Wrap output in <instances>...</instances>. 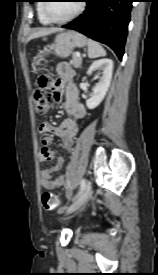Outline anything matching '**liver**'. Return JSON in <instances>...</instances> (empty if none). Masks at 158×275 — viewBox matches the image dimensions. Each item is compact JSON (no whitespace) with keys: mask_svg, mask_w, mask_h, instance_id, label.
Here are the masks:
<instances>
[{"mask_svg":"<svg viewBox=\"0 0 158 275\" xmlns=\"http://www.w3.org/2000/svg\"><path fill=\"white\" fill-rule=\"evenodd\" d=\"M57 31H62V29H60V28L40 29L38 31H35L32 35H30L28 40L38 38V37H42V36H46V35H49L51 33L57 32Z\"/></svg>","mask_w":158,"mask_h":275,"instance_id":"liver-1","label":"liver"}]
</instances>
